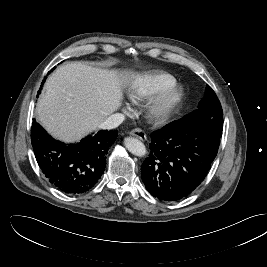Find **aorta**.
<instances>
[{
	"mask_svg": "<svg viewBox=\"0 0 267 267\" xmlns=\"http://www.w3.org/2000/svg\"><path fill=\"white\" fill-rule=\"evenodd\" d=\"M125 147L127 150L135 156L142 157L146 154L145 145L134 137H127L124 140Z\"/></svg>",
	"mask_w": 267,
	"mask_h": 267,
	"instance_id": "aorta-1",
	"label": "aorta"
}]
</instances>
